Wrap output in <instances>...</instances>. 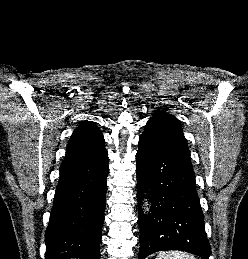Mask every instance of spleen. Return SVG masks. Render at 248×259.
<instances>
[{
    "label": "spleen",
    "instance_id": "1",
    "mask_svg": "<svg viewBox=\"0 0 248 259\" xmlns=\"http://www.w3.org/2000/svg\"><path fill=\"white\" fill-rule=\"evenodd\" d=\"M155 259H197L193 254L182 251H168L160 253Z\"/></svg>",
    "mask_w": 248,
    "mask_h": 259
}]
</instances>
